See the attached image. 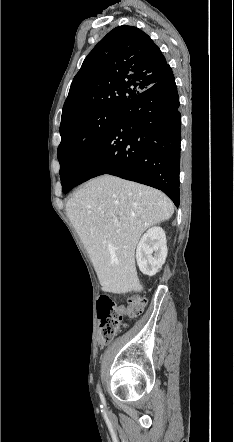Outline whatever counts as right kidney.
Instances as JSON below:
<instances>
[{
	"mask_svg": "<svg viewBox=\"0 0 234 442\" xmlns=\"http://www.w3.org/2000/svg\"><path fill=\"white\" fill-rule=\"evenodd\" d=\"M167 257V241L165 231L158 226L147 230L141 237L136 260L143 274L153 276L162 267Z\"/></svg>",
	"mask_w": 234,
	"mask_h": 442,
	"instance_id": "1",
	"label": "right kidney"
}]
</instances>
